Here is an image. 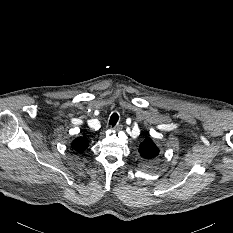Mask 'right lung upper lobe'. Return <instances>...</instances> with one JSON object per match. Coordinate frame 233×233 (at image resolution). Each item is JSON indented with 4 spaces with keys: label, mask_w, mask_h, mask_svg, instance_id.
<instances>
[{
    "label": "right lung upper lobe",
    "mask_w": 233,
    "mask_h": 233,
    "mask_svg": "<svg viewBox=\"0 0 233 233\" xmlns=\"http://www.w3.org/2000/svg\"><path fill=\"white\" fill-rule=\"evenodd\" d=\"M71 147L75 151L82 153L88 147V139L85 136L78 137L71 143Z\"/></svg>",
    "instance_id": "1"
}]
</instances>
